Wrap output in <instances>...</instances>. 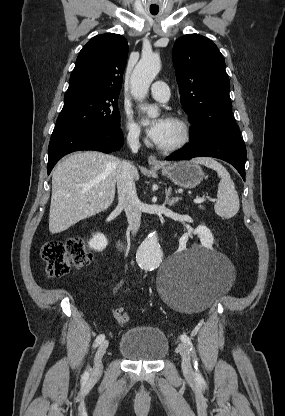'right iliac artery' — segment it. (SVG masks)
<instances>
[{
    "label": "right iliac artery",
    "mask_w": 285,
    "mask_h": 416,
    "mask_svg": "<svg viewBox=\"0 0 285 416\" xmlns=\"http://www.w3.org/2000/svg\"><path fill=\"white\" fill-rule=\"evenodd\" d=\"M104 339H105V335L104 334L98 335L97 338H96V340H95V343L93 344V347L94 348L97 347L99 344H101L104 341ZM88 377H89V373H88V371H85V373L83 375V378L84 379H88Z\"/></svg>",
    "instance_id": "obj_1"
}]
</instances>
